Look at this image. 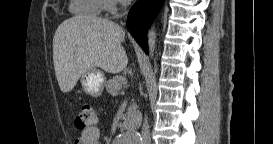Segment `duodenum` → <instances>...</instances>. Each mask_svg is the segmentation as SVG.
I'll list each match as a JSON object with an SVG mask.
<instances>
[{"label":"duodenum","mask_w":273,"mask_h":144,"mask_svg":"<svg viewBox=\"0 0 273 144\" xmlns=\"http://www.w3.org/2000/svg\"><path fill=\"white\" fill-rule=\"evenodd\" d=\"M139 115L138 114H133L129 115L124 122V126L126 129L131 130L133 129L137 123H138Z\"/></svg>","instance_id":"duodenum-1"}]
</instances>
